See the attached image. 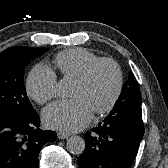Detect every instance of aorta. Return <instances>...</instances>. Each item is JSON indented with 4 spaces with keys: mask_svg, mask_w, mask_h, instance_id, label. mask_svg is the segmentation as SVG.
<instances>
[{
    "mask_svg": "<svg viewBox=\"0 0 168 168\" xmlns=\"http://www.w3.org/2000/svg\"><path fill=\"white\" fill-rule=\"evenodd\" d=\"M58 92L61 96L67 97L73 89V81L63 78L58 83ZM67 150L75 155H80L85 149V141L80 136H72L67 140Z\"/></svg>",
    "mask_w": 168,
    "mask_h": 168,
    "instance_id": "obj_1",
    "label": "aorta"
}]
</instances>
